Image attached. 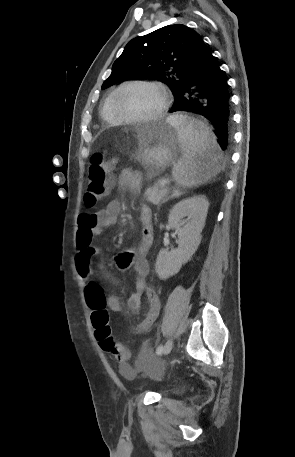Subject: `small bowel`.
Here are the masks:
<instances>
[{
  "label": "small bowel",
  "mask_w": 295,
  "mask_h": 457,
  "mask_svg": "<svg viewBox=\"0 0 295 457\" xmlns=\"http://www.w3.org/2000/svg\"><path fill=\"white\" fill-rule=\"evenodd\" d=\"M118 185L123 191L137 194L141 190L142 181L138 173L130 169H124L118 177ZM120 210V203L111 201L106 207L97 212H85L78 217L79 229L76 240L75 268L79 279L85 284V294L87 285L94 281L92 261L99 253V249L92 244V240L95 236L101 234L106 227L115 225L118 222ZM139 218L142 224V234L138 246L118 253L114 258V264L119 270L132 268L135 273L134 290L128 299V307L137 309L141 304L142 296L145 295L147 298L149 307L147 315L143 321L134 327L135 332L144 333L151 328L159 315L160 299L146 281L149 271L146 255L152 246L154 237L151 210L147 205L139 207ZM102 299L111 311H122V304L117 296H104L102 294ZM124 361L126 360H121V362Z\"/></svg>",
  "instance_id": "c3829d8e"
}]
</instances>
